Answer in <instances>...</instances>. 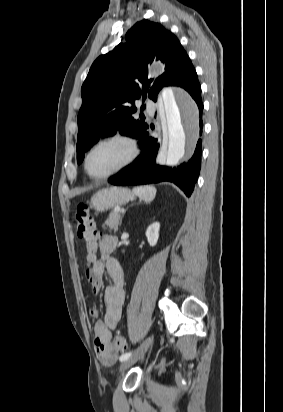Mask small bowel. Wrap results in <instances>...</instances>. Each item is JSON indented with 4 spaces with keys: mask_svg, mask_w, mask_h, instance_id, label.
Segmentation results:
<instances>
[{
    "mask_svg": "<svg viewBox=\"0 0 283 412\" xmlns=\"http://www.w3.org/2000/svg\"><path fill=\"white\" fill-rule=\"evenodd\" d=\"M97 243L100 258L94 255L88 256V268L86 276L91 284L92 291L97 295L103 287V277L107 273L111 284L105 288V314L103 319H97L93 326L94 345L97 355L103 364L109 366L114 363L118 354L113 352L109 355L104 353L112 337V330L116 329L122 316V306L125 299L124 273L118 260L112 257L116 249L117 239L111 235L97 233ZM92 316L98 315L96 307L91 309Z\"/></svg>",
    "mask_w": 283,
    "mask_h": 412,
    "instance_id": "1",
    "label": "small bowel"
}]
</instances>
